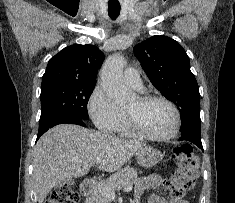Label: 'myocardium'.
<instances>
[{
    "mask_svg": "<svg viewBox=\"0 0 235 203\" xmlns=\"http://www.w3.org/2000/svg\"><path fill=\"white\" fill-rule=\"evenodd\" d=\"M137 98L142 103H148V102H153V101H161V102L166 103L173 111L174 124H173L172 130L168 134L152 135V134H149L146 131H144L141 128V126L139 125L135 116L130 111H128L126 109L125 115H126L127 124L129 126L130 130L132 131V133L140 138L150 140V141H158V142L168 141V140H171L174 137H176V135L178 134V132L180 130V126H181V115H180V111H179L178 107L176 106V104L173 101H171L170 99H168L164 96H160V95L144 94V95L138 96Z\"/></svg>",
    "mask_w": 235,
    "mask_h": 203,
    "instance_id": "1",
    "label": "myocardium"
}]
</instances>
